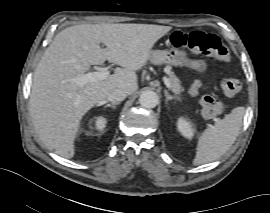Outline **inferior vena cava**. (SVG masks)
I'll return each mask as SVG.
<instances>
[{
	"label": "inferior vena cava",
	"instance_id": "obj_1",
	"mask_svg": "<svg viewBox=\"0 0 270 213\" xmlns=\"http://www.w3.org/2000/svg\"><path fill=\"white\" fill-rule=\"evenodd\" d=\"M127 92L122 90V89H115L112 90L108 96H107V100L114 103V102H120L122 100H124L127 97Z\"/></svg>",
	"mask_w": 270,
	"mask_h": 213
}]
</instances>
